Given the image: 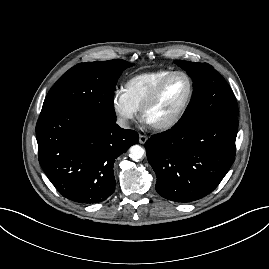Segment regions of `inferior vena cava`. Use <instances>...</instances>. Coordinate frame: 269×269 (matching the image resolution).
<instances>
[{"mask_svg":"<svg viewBox=\"0 0 269 269\" xmlns=\"http://www.w3.org/2000/svg\"><path fill=\"white\" fill-rule=\"evenodd\" d=\"M117 124L122 128H129V122L124 118H118Z\"/></svg>","mask_w":269,"mask_h":269,"instance_id":"obj_1","label":"inferior vena cava"}]
</instances>
